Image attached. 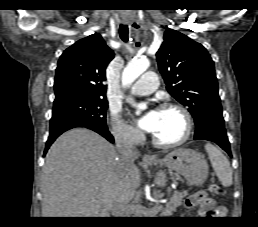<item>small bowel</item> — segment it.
<instances>
[{
    "label": "small bowel",
    "instance_id": "1",
    "mask_svg": "<svg viewBox=\"0 0 258 227\" xmlns=\"http://www.w3.org/2000/svg\"><path fill=\"white\" fill-rule=\"evenodd\" d=\"M187 207L200 205L198 215L200 217H207L213 213L223 215L226 213V208L221 205H217L216 202L211 199L205 191H200L191 195L185 202Z\"/></svg>",
    "mask_w": 258,
    "mask_h": 227
}]
</instances>
